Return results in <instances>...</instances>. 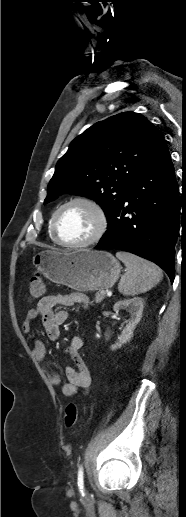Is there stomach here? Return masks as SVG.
<instances>
[{
    "label": "stomach",
    "mask_w": 186,
    "mask_h": 517,
    "mask_svg": "<svg viewBox=\"0 0 186 517\" xmlns=\"http://www.w3.org/2000/svg\"><path fill=\"white\" fill-rule=\"evenodd\" d=\"M33 264L50 281L79 292L112 287L121 270L111 253L89 249L42 251L33 257Z\"/></svg>",
    "instance_id": "1"
}]
</instances>
